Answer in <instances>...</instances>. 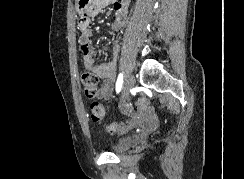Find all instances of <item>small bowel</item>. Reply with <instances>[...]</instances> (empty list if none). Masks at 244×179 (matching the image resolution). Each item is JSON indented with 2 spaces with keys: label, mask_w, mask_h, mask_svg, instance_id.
<instances>
[{
  "label": "small bowel",
  "mask_w": 244,
  "mask_h": 179,
  "mask_svg": "<svg viewBox=\"0 0 244 179\" xmlns=\"http://www.w3.org/2000/svg\"><path fill=\"white\" fill-rule=\"evenodd\" d=\"M86 18H79L78 29L80 32V50L82 54L83 66L90 72L96 74L103 79V83L97 93L99 99H109L113 92V86L116 78L117 58L119 55V39H116L112 44V59L107 63H96V57L105 51L107 47L96 49L90 45V38L92 36L91 21L101 12H103L109 5L112 6L114 18L111 24V31H120L127 19V5L122 1L109 0H92V3H87ZM131 121L144 126H158L156 116H151L150 111L137 110L136 116H131Z\"/></svg>",
  "instance_id": "c3829d8e"
}]
</instances>
